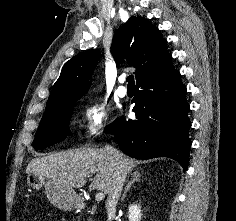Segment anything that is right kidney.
Listing matches in <instances>:
<instances>
[{"instance_id":"1","label":"right kidney","mask_w":236,"mask_h":221,"mask_svg":"<svg viewBox=\"0 0 236 221\" xmlns=\"http://www.w3.org/2000/svg\"><path fill=\"white\" fill-rule=\"evenodd\" d=\"M141 207L137 204H132L129 206L128 218L129 221H141Z\"/></svg>"}]
</instances>
